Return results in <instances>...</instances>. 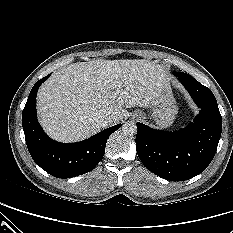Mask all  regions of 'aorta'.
<instances>
[{"label":"aorta","instance_id":"1","mask_svg":"<svg viewBox=\"0 0 233 233\" xmlns=\"http://www.w3.org/2000/svg\"><path fill=\"white\" fill-rule=\"evenodd\" d=\"M122 132L125 135H135L137 132V126L136 123L133 121H127L122 125Z\"/></svg>","mask_w":233,"mask_h":233}]
</instances>
